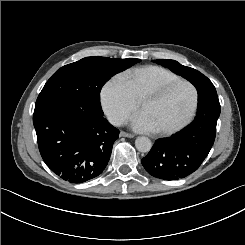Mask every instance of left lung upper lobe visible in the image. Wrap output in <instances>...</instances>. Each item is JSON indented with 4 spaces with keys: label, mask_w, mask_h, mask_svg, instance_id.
<instances>
[{
    "label": "left lung upper lobe",
    "mask_w": 245,
    "mask_h": 245,
    "mask_svg": "<svg viewBox=\"0 0 245 245\" xmlns=\"http://www.w3.org/2000/svg\"><path fill=\"white\" fill-rule=\"evenodd\" d=\"M153 62H156L157 64H160L164 67H167L174 73L181 75L182 77L189 80L195 87L196 85L209 80L206 76H204L199 71L190 67L183 66L174 60L161 59V60H153Z\"/></svg>",
    "instance_id": "1"
}]
</instances>
